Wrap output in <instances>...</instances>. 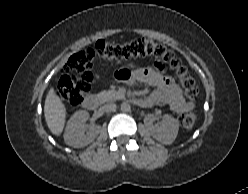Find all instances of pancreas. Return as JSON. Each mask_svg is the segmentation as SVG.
Instances as JSON below:
<instances>
[{
    "mask_svg": "<svg viewBox=\"0 0 248 194\" xmlns=\"http://www.w3.org/2000/svg\"><path fill=\"white\" fill-rule=\"evenodd\" d=\"M103 102L114 101L124 98V95L115 90L102 91L98 94Z\"/></svg>",
    "mask_w": 248,
    "mask_h": 194,
    "instance_id": "1",
    "label": "pancreas"
}]
</instances>
